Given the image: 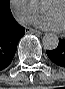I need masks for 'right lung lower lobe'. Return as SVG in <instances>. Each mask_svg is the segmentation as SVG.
<instances>
[{"instance_id":"98d812e1","label":"right lung lower lobe","mask_w":65,"mask_h":89,"mask_svg":"<svg viewBox=\"0 0 65 89\" xmlns=\"http://www.w3.org/2000/svg\"><path fill=\"white\" fill-rule=\"evenodd\" d=\"M24 34V28L16 23L11 11L0 8V71L12 62L17 44Z\"/></svg>"}]
</instances>
